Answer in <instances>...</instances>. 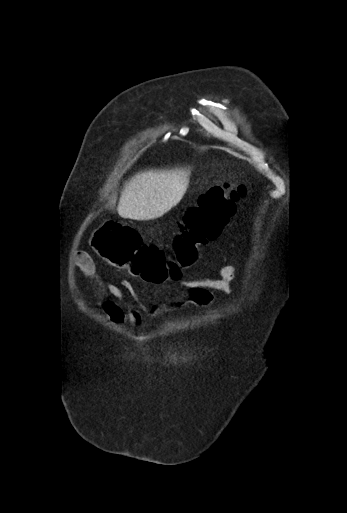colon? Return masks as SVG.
Instances as JSON below:
<instances>
[{"instance_id": "1", "label": "colon", "mask_w": 347, "mask_h": 513, "mask_svg": "<svg viewBox=\"0 0 347 513\" xmlns=\"http://www.w3.org/2000/svg\"><path fill=\"white\" fill-rule=\"evenodd\" d=\"M247 188L230 182L202 193L179 224L174 239V258L168 259L157 245L145 244L138 232L125 224L109 221L93 238V247L109 264L126 269L152 284L182 276L193 265L203 246L217 239L236 211V202Z\"/></svg>"}]
</instances>
